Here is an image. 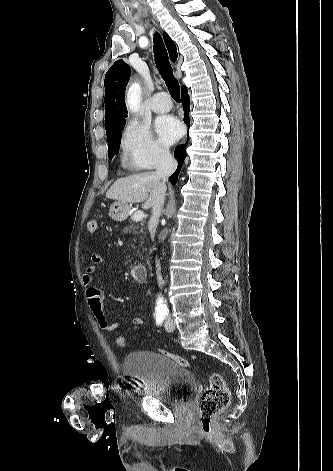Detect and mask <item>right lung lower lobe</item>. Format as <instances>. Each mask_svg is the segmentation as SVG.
Instances as JSON below:
<instances>
[{
	"label": "right lung lower lobe",
	"instance_id": "right-lung-lower-lobe-1",
	"mask_svg": "<svg viewBox=\"0 0 333 471\" xmlns=\"http://www.w3.org/2000/svg\"><path fill=\"white\" fill-rule=\"evenodd\" d=\"M181 101L183 104V109H184V122L186 123L187 126H189V105H190V98L188 95V90L185 86H182V91H181ZM185 149H186V144L184 145H178L175 148L174 156L178 161V167L177 170L171 175L170 177V182L175 185L178 179L179 172L183 166L184 160H185Z\"/></svg>",
	"mask_w": 333,
	"mask_h": 471
}]
</instances>
